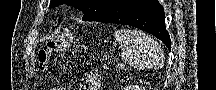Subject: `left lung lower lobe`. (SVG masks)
Wrapping results in <instances>:
<instances>
[{"mask_svg":"<svg viewBox=\"0 0 216 90\" xmlns=\"http://www.w3.org/2000/svg\"><path fill=\"white\" fill-rule=\"evenodd\" d=\"M93 21L138 27L160 39L171 50L164 9L158 0H127L123 5L103 13Z\"/></svg>","mask_w":216,"mask_h":90,"instance_id":"left-lung-lower-lobe-1","label":"left lung lower lobe"}]
</instances>
